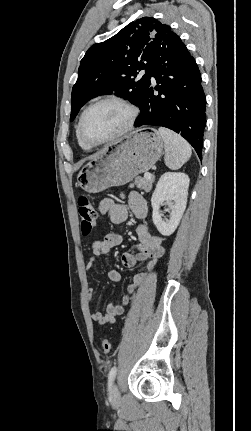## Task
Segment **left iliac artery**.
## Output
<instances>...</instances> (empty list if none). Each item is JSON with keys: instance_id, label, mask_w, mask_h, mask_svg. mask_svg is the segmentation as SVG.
<instances>
[{"instance_id": "44dca946", "label": "left iliac artery", "mask_w": 251, "mask_h": 431, "mask_svg": "<svg viewBox=\"0 0 251 431\" xmlns=\"http://www.w3.org/2000/svg\"><path fill=\"white\" fill-rule=\"evenodd\" d=\"M116 373H117V367L113 366L109 372V376H108V389L111 390L113 381L116 377Z\"/></svg>"}]
</instances>
